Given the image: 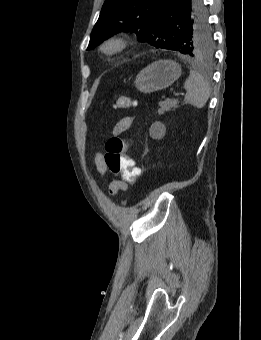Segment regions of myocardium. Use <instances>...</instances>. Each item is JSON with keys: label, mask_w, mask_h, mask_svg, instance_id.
Listing matches in <instances>:
<instances>
[{"label": "myocardium", "mask_w": 261, "mask_h": 340, "mask_svg": "<svg viewBox=\"0 0 261 340\" xmlns=\"http://www.w3.org/2000/svg\"><path fill=\"white\" fill-rule=\"evenodd\" d=\"M128 45L127 39L119 34L107 37L100 45V52L106 56H114L121 53Z\"/></svg>", "instance_id": "1"}]
</instances>
